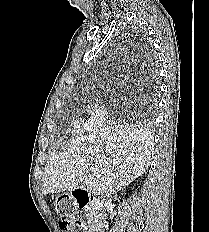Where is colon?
I'll list each match as a JSON object with an SVG mask.
<instances>
[{
    "mask_svg": "<svg viewBox=\"0 0 209 232\" xmlns=\"http://www.w3.org/2000/svg\"><path fill=\"white\" fill-rule=\"evenodd\" d=\"M61 228L64 232H77L78 230H85L86 226L84 222L78 218V221H62Z\"/></svg>",
    "mask_w": 209,
    "mask_h": 232,
    "instance_id": "1",
    "label": "colon"
}]
</instances>
